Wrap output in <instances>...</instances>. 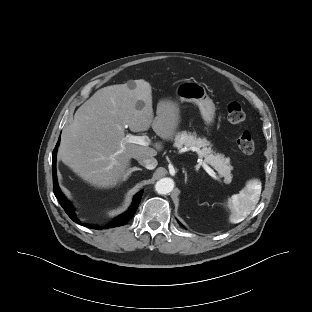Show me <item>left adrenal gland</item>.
<instances>
[{"instance_id": "obj_1", "label": "left adrenal gland", "mask_w": 312, "mask_h": 312, "mask_svg": "<svg viewBox=\"0 0 312 312\" xmlns=\"http://www.w3.org/2000/svg\"><path fill=\"white\" fill-rule=\"evenodd\" d=\"M183 173H185V182H187V172L183 170Z\"/></svg>"}]
</instances>
